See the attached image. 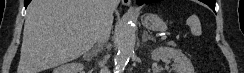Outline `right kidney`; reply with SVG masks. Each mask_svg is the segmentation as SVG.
Instances as JSON below:
<instances>
[{
    "label": "right kidney",
    "mask_w": 244,
    "mask_h": 73,
    "mask_svg": "<svg viewBox=\"0 0 244 73\" xmlns=\"http://www.w3.org/2000/svg\"><path fill=\"white\" fill-rule=\"evenodd\" d=\"M83 69V64L74 62L62 65L54 69L53 73H81Z\"/></svg>",
    "instance_id": "1"
}]
</instances>
